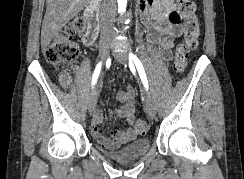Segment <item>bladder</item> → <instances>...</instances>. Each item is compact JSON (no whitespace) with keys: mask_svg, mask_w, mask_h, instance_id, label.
Returning <instances> with one entry per match:
<instances>
[{"mask_svg":"<svg viewBox=\"0 0 244 179\" xmlns=\"http://www.w3.org/2000/svg\"><path fill=\"white\" fill-rule=\"evenodd\" d=\"M150 150V141L148 138H141L123 146L115 151H106L103 153L113 159L128 160L141 157Z\"/></svg>","mask_w":244,"mask_h":179,"instance_id":"31cf9c89","label":"bladder"}]
</instances>
